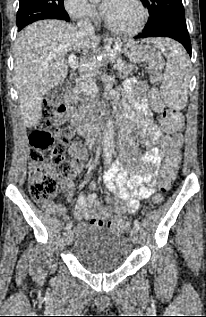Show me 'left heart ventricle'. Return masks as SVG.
I'll use <instances>...</instances> for the list:
<instances>
[{"label":"left heart ventricle","mask_w":206,"mask_h":317,"mask_svg":"<svg viewBox=\"0 0 206 317\" xmlns=\"http://www.w3.org/2000/svg\"><path fill=\"white\" fill-rule=\"evenodd\" d=\"M105 15L112 24L124 29L135 27L141 18L139 8L131 0H111Z\"/></svg>","instance_id":"1"}]
</instances>
